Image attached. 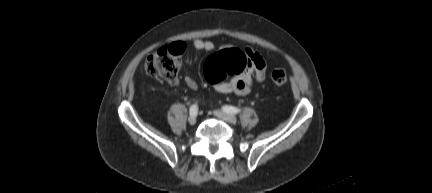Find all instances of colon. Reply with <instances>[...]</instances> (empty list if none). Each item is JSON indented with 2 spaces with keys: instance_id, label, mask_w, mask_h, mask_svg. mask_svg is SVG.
<instances>
[{
  "instance_id": "5ec220e1",
  "label": "colon",
  "mask_w": 432,
  "mask_h": 193,
  "mask_svg": "<svg viewBox=\"0 0 432 193\" xmlns=\"http://www.w3.org/2000/svg\"><path fill=\"white\" fill-rule=\"evenodd\" d=\"M183 50L180 44L161 47L145 60L143 71L147 75L175 82L182 66ZM248 67L249 59L244 51L227 48L211 55L205 62L204 71L208 80L216 84L227 76L240 75ZM271 80L275 86H282L288 81L287 72L284 69H275L271 73Z\"/></svg>"
}]
</instances>
